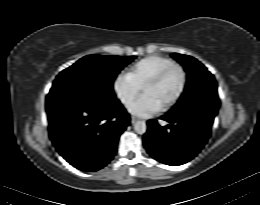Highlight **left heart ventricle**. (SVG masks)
Returning a JSON list of instances; mask_svg holds the SVG:
<instances>
[{"mask_svg":"<svg viewBox=\"0 0 260 205\" xmlns=\"http://www.w3.org/2000/svg\"><path fill=\"white\" fill-rule=\"evenodd\" d=\"M181 74L173 71L160 83L148 89V96L152 97L160 106L165 105L178 91L181 85Z\"/></svg>","mask_w":260,"mask_h":205,"instance_id":"left-heart-ventricle-1","label":"left heart ventricle"}]
</instances>
